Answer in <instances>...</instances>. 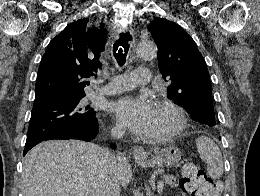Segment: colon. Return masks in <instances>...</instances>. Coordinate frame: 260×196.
<instances>
[{
    "instance_id": "obj_1",
    "label": "colon",
    "mask_w": 260,
    "mask_h": 196,
    "mask_svg": "<svg viewBox=\"0 0 260 196\" xmlns=\"http://www.w3.org/2000/svg\"><path fill=\"white\" fill-rule=\"evenodd\" d=\"M210 184L209 177L192 161L184 163L182 168V185L187 192H201Z\"/></svg>"
}]
</instances>
